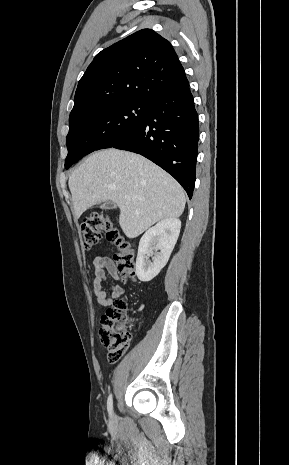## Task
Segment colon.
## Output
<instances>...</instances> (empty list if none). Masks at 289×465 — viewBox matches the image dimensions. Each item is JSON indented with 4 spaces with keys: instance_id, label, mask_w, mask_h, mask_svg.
<instances>
[{
    "instance_id": "5ec220e1",
    "label": "colon",
    "mask_w": 289,
    "mask_h": 465,
    "mask_svg": "<svg viewBox=\"0 0 289 465\" xmlns=\"http://www.w3.org/2000/svg\"><path fill=\"white\" fill-rule=\"evenodd\" d=\"M104 234L109 242L117 247L115 259L117 269L124 280L133 279L136 274V248L133 242L124 237L111 218L93 213L81 223V239L85 248H93ZM129 309L124 299H117L100 318L99 336L108 350L111 362L118 361L127 350L131 334Z\"/></svg>"
}]
</instances>
